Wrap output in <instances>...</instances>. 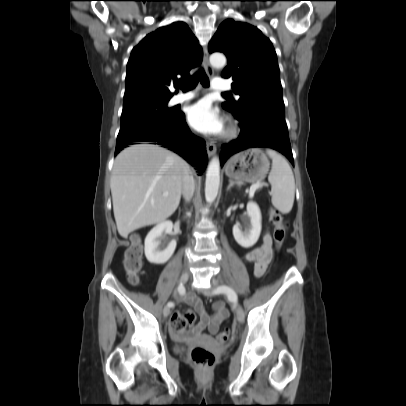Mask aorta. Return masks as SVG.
Instances as JSON below:
<instances>
[{
  "label": "aorta",
  "instance_id": "762f6f07",
  "mask_svg": "<svg viewBox=\"0 0 406 406\" xmlns=\"http://www.w3.org/2000/svg\"><path fill=\"white\" fill-rule=\"evenodd\" d=\"M212 67L220 69L226 64V58L221 53H213L210 56ZM220 184V161L217 157L213 158L207 168L205 183L206 202L212 203L217 197Z\"/></svg>",
  "mask_w": 406,
  "mask_h": 406
}]
</instances>
